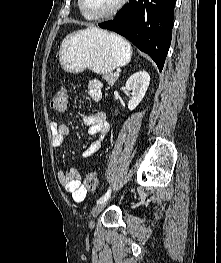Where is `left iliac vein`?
<instances>
[{
  "label": "left iliac vein",
  "mask_w": 221,
  "mask_h": 263,
  "mask_svg": "<svg viewBox=\"0 0 221 263\" xmlns=\"http://www.w3.org/2000/svg\"><path fill=\"white\" fill-rule=\"evenodd\" d=\"M106 205H107V200L105 202L99 203L95 207H93V209L91 210V213H90V216H91V219L89 222L90 228L94 227V222H95L96 217L105 208Z\"/></svg>",
  "instance_id": "1"
}]
</instances>
